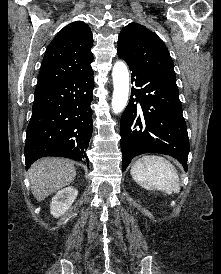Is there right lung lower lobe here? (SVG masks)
Instances as JSON below:
<instances>
[{
	"label": "right lung lower lobe",
	"mask_w": 221,
	"mask_h": 274,
	"mask_svg": "<svg viewBox=\"0 0 221 274\" xmlns=\"http://www.w3.org/2000/svg\"><path fill=\"white\" fill-rule=\"evenodd\" d=\"M93 70L34 93L24 149L26 170L45 156L83 161L92 135Z\"/></svg>",
	"instance_id": "obj_1"
}]
</instances>
